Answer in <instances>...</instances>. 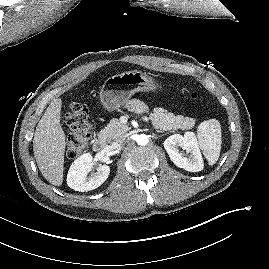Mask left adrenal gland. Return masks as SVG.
Returning <instances> with one entry per match:
<instances>
[{
  "label": "left adrenal gland",
  "instance_id": "left-adrenal-gland-1",
  "mask_svg": "<svg viewBox=\"0 0 269 269\" xmlns=\"http://www.w3.org/2000/svg\"><path fill=\"white\" fill-rule=\"evenodd\" d=\"M156 132H158V133H162V131H159V130H157Z\"/></svg>",
  "mask_w": 269,
  "mask_h": 269
}]
</instances>
